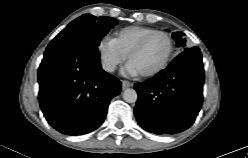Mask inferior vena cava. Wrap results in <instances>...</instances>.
<instances>
[{
  "instance_id": "602c4592",
  "label": "inferior vena cava",
  "mask_w": 248,
  "mask_h": 158,
  "mask_svg": "<svg viewBox=\"0 0 248 158\" xmlns=\"http://www.w3.org/2000/svg\"><path fill=\"white\" fill-rule=\"evenodd\" d=\"M102 67L107 72H113L115 70V64L110 62L103 63Z\"/></svg>"
}]
</instances>
